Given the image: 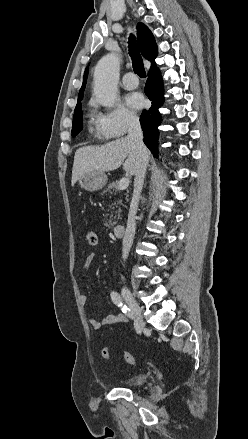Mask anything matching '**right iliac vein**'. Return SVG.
Segmentation results:
<instances>
[{
	"label": "right iliac vein",
	"instance_id": "1",
	"mask_svg": "<svg viewBox=\"0 0 248 439\" xmlns=\"http://www.w3.org/2000/svg\"><path fill=\"white\" fill-rule=\"evenodd\" d=\"M122 293H123V296H124L126 302L128 303V305L132 309L137 327H138L139 331L141 332L143 330V328L145 327V323H144L142 315H141V309H140L138 303L136 302V300L134 299L133 295L131 294V292L128 289H123Z\"/></svg>",
	"mask_w": 248,
	"mask_h": 439
}]
</instances>
